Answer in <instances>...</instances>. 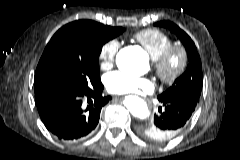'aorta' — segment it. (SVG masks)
Here are the masks:
<instances>
[{
	"instance_id": "obj_1",
	"label": "aorta",
	"mask_w": 240,
	"mask_h": 160,
	"mask_svg": "<svg viewBox=\"0 0 240 160\" xmlns=\"http://www.w3.org/2000/svg\"><path fill=\"white\" fill-rule=\"evenodd\" d=\"M116 63L120 68L127 65L132 70L140 71L147 65V57L142 49L128 47L119 51L116 56ZM124 105L135 117L147 119L150 116L146 103L138 96L130 95L125 97Z\"/></svg>"
}]
</instances>
